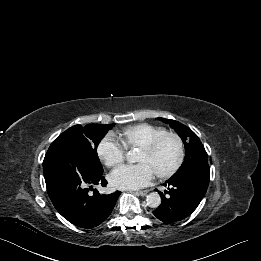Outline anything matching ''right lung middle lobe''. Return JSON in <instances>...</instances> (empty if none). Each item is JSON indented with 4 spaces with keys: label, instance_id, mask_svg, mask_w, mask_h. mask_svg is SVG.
I'll return each instance as SVG.
<instances>
[{
    "label": "right lung middle lobe",
    "instance_id": "1",
    "mask_svg": "<svg viewBox=\"0 0 261 261\" xmlns=\"http://www.w3.org/2000/svg\"><path fill=\"white\" fill-rule=\"evenodd\" d=\"M113 125L89 124L84 128L80 125L69 128L52 142L45 155L43 168L59 167L63 163L70 162V154H75L78 149L83 154L87 169L103 173L97 146Z\"/></svg>",
    "mask_w": 261,
    "mask_h": 261
}]
</instances>
